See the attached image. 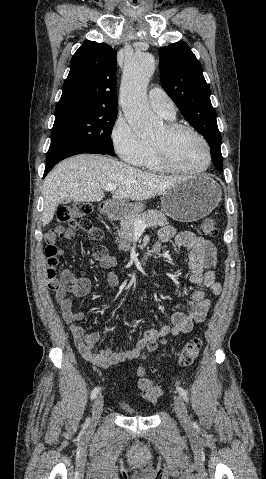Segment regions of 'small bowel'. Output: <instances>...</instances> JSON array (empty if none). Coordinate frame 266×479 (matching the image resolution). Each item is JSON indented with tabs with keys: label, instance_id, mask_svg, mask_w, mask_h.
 Returning <instances> with one entry per match:
<instances>
[{
	"label": "small bowel",
	"instance_id": "c3829d8e",
	"mask_svg": "<svg viewBox=\"0 0 266 479\" xmlns=\"http://www.w3.org/2000/svg\"><path fill=\"white\" fill-rule=\"evenodd\" d=\"M58 236L67 241L75 239V234L70 230L59 231ZM170 241L189 251V281L194 286V290L182 307L170 315L169 324L146 330L136 345L128 350L112 352L109 349L96 348L101 334L88 333L79 324L86 315L84 312L75 310L73 305L75 300L83 299L90 294L91 282L88 278L76 276L71 270L65 269L59 278L51 283L61 317L69 326L74 344L86 361L100 368H109L127 360H136L151 343L168 335L177 337L189 333L195 325L205 321L211 306V298L207 296L206 289L214 295L221 292V284L217 281L214 272L217 262L216 248L211 241L194 232L176 233L173 227L163 226L159 230V242ZM93 259L102 269H111L116 264V259L106 253L102 246L94 248ZM106 281L109 286L116 287L120 283V277L116 272H110L106 276Z\"/></svg>",
	"mask_w": 266,
	"mask_h": 479
}]
</instances>
